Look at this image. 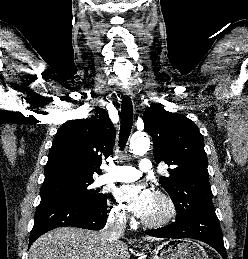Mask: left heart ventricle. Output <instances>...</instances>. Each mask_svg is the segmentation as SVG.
Returning <instances> with one entry per match:
<instances>
[{"label":"left heart ventricle","mask_w":248,"mask_h":259,"mask_svg":"<svg viewBox=\"0 0 248 259\" xmlns=\"http://www.w3.org/2000/svg\"><path fill=\"white\" fill-rule=\"evenodd\" d=\"M165 211H166L165 203L160 198L154 195L151 206L143 218L147 220H155L163 216Z\"/></svg>","instance_id":"b2bd125f"}]
</instances>
